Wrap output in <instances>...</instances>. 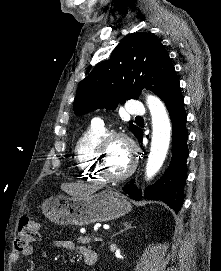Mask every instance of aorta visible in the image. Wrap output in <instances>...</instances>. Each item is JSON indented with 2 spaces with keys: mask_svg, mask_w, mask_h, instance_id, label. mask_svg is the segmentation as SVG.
Returning a JSON list of instances; mask_svg holds the SVG:
<instances>
[{
  "mask_svg": "<svg viewBox=\"0 0 221 271\" xmlns=\"http://www.w3.org/2000/svg\"><path fill=\"white\" fill-rule=\"evenodd\" d=\"M147 105L152 117V141L146 164V177L147 180H150L164 163L169 149L172 128L165 105L158 97L148 95Z\"/></svg>",
  "mask_w": 221,
  "mask_h": 271,
  "instance_id": "1",
  "label": "aorta"
}]
</instances>
